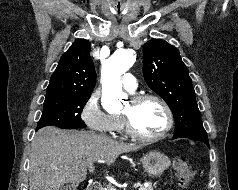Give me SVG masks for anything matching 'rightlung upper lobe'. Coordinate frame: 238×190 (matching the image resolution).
<instances>
[{
    "instance_id": "obj_1",
    "label": "right lung upper lobe",
    "mask_w": 238,
    "mask_h": 190,
    "mask_svg": "<svg viewBox=\"0 0 238 190\" xmlns=\"http://www.w3.org/2000/svg\"><path fill=\"white\" fill-rule=\"evenodd\" d=\"M90 43L76 40L51 76L46 98L68 95H91L96 82L95 68L90 57Z\"/></svg>"
}]
</instances>
